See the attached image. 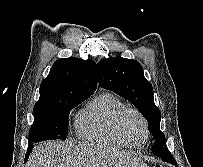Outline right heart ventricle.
I'll use <instances>...</instances> for the list:
<instances>
[{
    "label": "right heart ventricle",
    "mask_w": 203,
    "mask_h": 167,
    "mask_svg": "<svg viewBox=\"0 0 203 167\" xmlns=\"http://www.w3.org/2000/svg\"><path fill=\"white\" fill-rule=\"evenodd\" d=\"M124 108L125 104L113 93L99 94L77 116L75 129L78 137L88 142L132 148L117 134L114 127L118 113Z\"/></svg>",
    "instance_id": "right-heart-ventricle-1"
}]
</instances>
